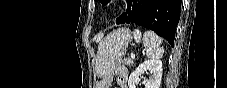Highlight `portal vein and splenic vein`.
Returning a JSON list of instances; mask_svg holds the SVG:
<instances>
[{"mask_svg": "<svg viewBox=\"0 0 227 88\" xmlns=\"http://www.w3.org/2000/svg\"><path fill=\"white\" fill-rule=\"evenodd\" d=\"M131 58H133V59L135 58V54L134 53L131 54Z\"/></svg>", "mask_w": 227, "mask_h": 88, "instance_id": "1", "label": "portal vein and splenic vein"}]
</instances>
